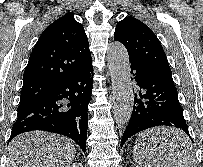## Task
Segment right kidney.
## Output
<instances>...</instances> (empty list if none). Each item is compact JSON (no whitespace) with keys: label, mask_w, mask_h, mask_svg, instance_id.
Listing matches in <instances>:
<instances>
[{"label":"right kidney","mask_w":203,"mask_h":167,"mask_svg":"<svg viewBox=\"0 0 203 167\" xmlns=\"http://www.w3.org/2000/svg\"><path fill=\"white\" fill-rule=\"evenodd\" d=\"M69 167H82V164L76 162V163L71 164V166H69Z\"/></svg>","instance_id":"1"}]
</instances>
